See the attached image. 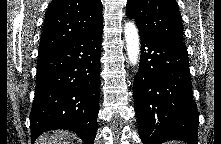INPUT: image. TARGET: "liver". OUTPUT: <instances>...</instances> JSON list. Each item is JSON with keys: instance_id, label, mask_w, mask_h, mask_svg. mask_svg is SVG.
Listing matches in <instances>:
<instances>
[{"instance_id": "liver-1", "label": "liver", "mask_w": 221, "mask_h": 144, "mask_svg": "<svg viewBox=\"0 0 221 144\" xmlns=\"http://www.w3.org/2000/svg\"><path fill=\"white\" fill-rule=\"evenodd\" d=\"M73 133L69 131H54L40 136L35 144H73Z\"/></svg>"}]
</instances>
